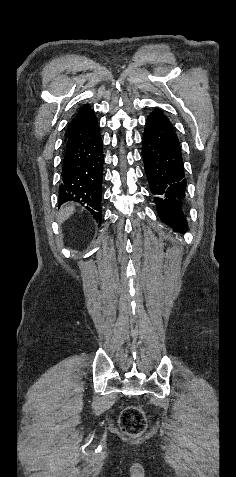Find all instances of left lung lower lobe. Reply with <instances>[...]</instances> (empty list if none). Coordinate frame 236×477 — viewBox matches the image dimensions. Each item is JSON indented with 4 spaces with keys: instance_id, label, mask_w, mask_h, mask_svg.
Listing matches in <instances>:
<instances>
[{
    "instance_id": "left-lung-lower-lobe-1",
    "label": "left lung lower lobe",
    "mask_w": 236,
    "mask_h": 477,
    "mask_svg": "<svg viewBox=\"0 0 236 477\" xmlns=\"http://www.w3.org/2000/svg\"><path fill=\"white\" fill-rule=\"evenodd\" d=\"M145 173L158 213L172 227L186 226L183 206L186 179L181 146L169 119L160 109L148 116L142 138Z\"/></svg>"
}]
</instances>
